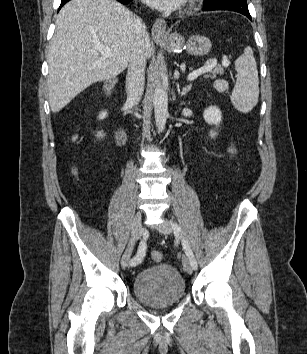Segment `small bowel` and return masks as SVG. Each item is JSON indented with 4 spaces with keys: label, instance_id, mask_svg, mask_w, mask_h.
Segmentation results:
<instances>
[{
    "label": "small bowel",
    "instance_id": "small-bowel-1",
    "mask_svg": "<svg viewBox=\"0 0 307 354\" xmlns=\"http://www.w3.org/2000/svg\"><path fill=\"white\" fill-rule=\"evenodd\" d=\"M228 153L230 154V156H234L236 153L235 147L233 145H230L228 147Z\"/></svg>",
    "mask_w": 307,
    "mask_h": 354
}]
</instances>
